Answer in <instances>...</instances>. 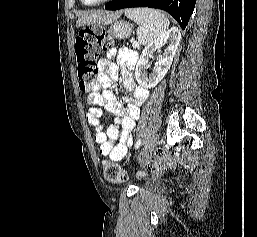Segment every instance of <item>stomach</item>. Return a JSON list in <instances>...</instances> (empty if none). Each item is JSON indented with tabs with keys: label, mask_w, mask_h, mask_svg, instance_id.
Instances as JSON below:
<instances>
[{
	"label": "stomach",
	"mask_w": 257,
	"mask_h": 237,
	"mask_svg": "<svg viewBox=\"0 0 257 237\" xmlns=\"http://www.w3.org/2000/svg\"><path fill=\"white\" fill-rule=\"evenodd\" d=\"M132 26L126 21L115 22L109 29V33L116 39H125L131 35Z\"/></svg>",
	"instance_id": "stomach-1"
}]
</instances>
